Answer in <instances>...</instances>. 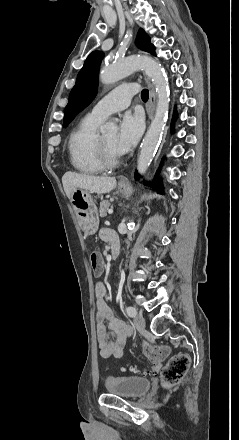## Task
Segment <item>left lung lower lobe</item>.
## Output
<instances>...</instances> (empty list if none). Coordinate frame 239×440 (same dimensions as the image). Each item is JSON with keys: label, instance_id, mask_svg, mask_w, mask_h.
<instances>
[{"label": "left lung lower lobe", "instance_id": "left-lung-lower-lobe-1", "mask_svg": "<svg viewBox=\"0 0 239 440\" xmlns=\"http://www.w3.org/2000/svg\"><path fill=\"white\" fill-rule=\"evenodd\" d=\"M174 119L177 117V114L175 113L174 114ZM157 176V175H156ZM135 178L137 179L138 178V175L137 174H135ZM155 186H154V188H157L158 189V191L159 192H163V187H162V185H161V183L160 182H158L157 180H155Z\"/></svg>", "mask_w": 239, "mask_h": 440}]
</instances>
